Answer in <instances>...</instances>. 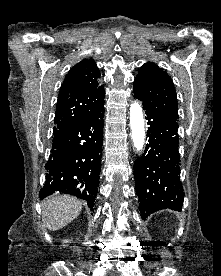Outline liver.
<instances>
[{
    "instance_id": "6515ba94",
    "label": "liver",
    "mask_w": 221,
    "mask_h": 276,
    "mask_svg": "<svg viewBox=\"0 0 221 276\" xmlns=\"http://www.w3.org/2000/svg\"><path fill=\"white\" fill-rule=\"evenodd\" d=\"M82 205V201L74 196L52 195L42 202L43 222L49 230H59L80 214Z\"/></svg>"
}]
</instances>
